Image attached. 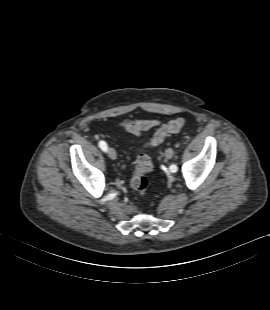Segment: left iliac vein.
Masks as SVG:
<instances>
[{"label":"left iliac vein","instance_id":"obj_1","mask_svg":"<svg viewBox=\"0 0 270 310\" xmlns=\"http://www.w3.org/2000/svg\"><path fill=\"white\" fill-rule=\"evenodd\" d=\"M173 154H174L173 149H172V148H168V149L166 150V152H165V157H166L167 159H170V158L173 157Z\"/></svg>","mask_w":270,"mask_h":310}]
</instances>
